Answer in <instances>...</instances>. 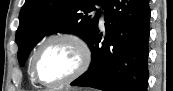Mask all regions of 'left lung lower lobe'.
Segmentation results:
<instances>
[{"instance_id":"1","label":"left lung lower lobe","mask_w":173,"mask_h":91,"mask_svg":"<svg viewBox=\"0 0 173 91\" xmlns=\"http://www.w3.org/2000/svg\"><path fill=\"white\" fill-rule=\"evenodd\" d=\"M105 35L97 28L88 45L92 64L72 86L104 91H146L148 85V0H107Z\"/></svg>"}]
</instances>
